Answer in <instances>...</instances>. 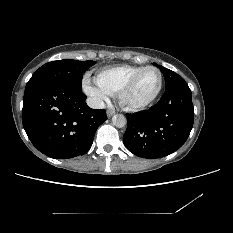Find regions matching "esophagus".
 <instances>
[{"mask_svg": "<svg viewBox=\"0 0 233 233\" xmlns=\"http://www.w3.org/2000/svg\"><path fill=\"white\" fill-rule=\"evenodd\" d=\"M114 114H115V111H114V110H112V109H108V110H107V117H108V118L112 117Z\"/></svg>", "mask_w": 233, "mask_h": 233, "instance_id": "esophagus-1", "label": "esophagus"}]
</instances>
